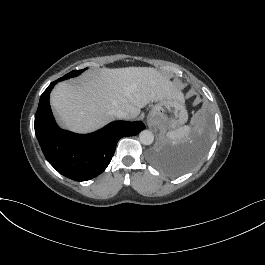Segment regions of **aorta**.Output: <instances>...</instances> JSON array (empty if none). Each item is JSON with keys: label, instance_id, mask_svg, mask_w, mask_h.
<instances>
[{"label": "aorta", "instance_id": "1", "mask_svg": "<svg viewBox=\"0 0 265 265\" xmlns=\"http://www.w3.org/2000/svg\"><path fill=\"white\" fill-rule=\"evenodd\" d=\"M139 140L143 145H151L154 141V135L150 130H143L139 134Z\"/></svg>", "mask_w": 265, "mask_h": 265}]
</instances>
